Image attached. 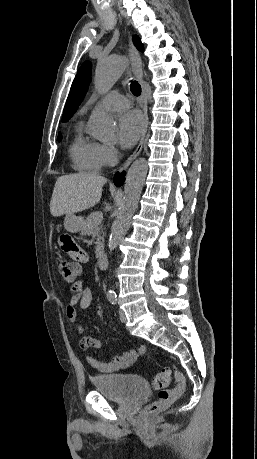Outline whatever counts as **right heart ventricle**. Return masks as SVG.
<instances>
[{"mask_svg":"<svg viewBox=\"0 0 257 459\" xmlns=\"http://www.w3.org/2000/svg\"><path fill=\"white\" fill-rule=\"evenodd\" d=\"M100 146L101 144L84 134L83 122H79L69 149L73 168L80 172H98L103 166Z\"/></svg>","mask_w":257,"mask_h":459,"instance_id":"1","label":"right heart ventricle"}]
</instances>
